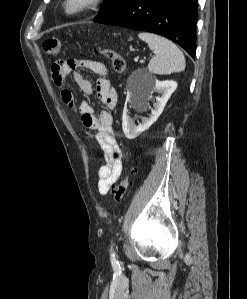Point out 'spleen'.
<instances>
[{
	"label": "spleen",
	"mask_w": 247,
	"mask_h": 299,
	"mask_svg": "<svg viewBox=\"0 0 247 299\" xmlns=\"http://www.w3.org/2000/svg\"><path fill=\"white\" fill-rule=\"evenodd\" d=\"M155 56L150 60L148 69L154 74H171L185 69V57L182 51L170 40L147 32L138 34Z\"/></svg>",
	"instance_id": "spleen-1"
}]
</instances>
